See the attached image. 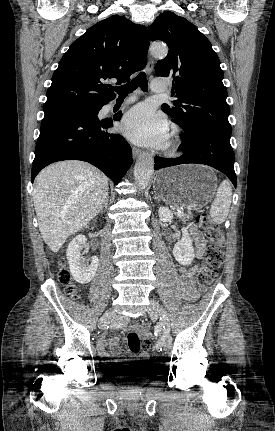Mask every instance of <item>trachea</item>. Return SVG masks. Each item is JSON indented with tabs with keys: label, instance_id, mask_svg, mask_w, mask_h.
Returning <instances> with one entry per match:
<instances>
[{
	"label": "trachea",
	"instance_id": "obj_1",
	"mask_svg": "<svg viewBox=\"0 0 275 431\" xmlns=\"http://www.w3.org/2000/svg\"><path fill=\"white\" fill-rule=\"evenodd\" d=\"M137 87H140L143 92L148 90V81L145 72L139 73L137 77L125 85L114 87V90L119 94V97H124L133 92Z\"/></svg>",
	"mask_w": 275,
	"mask_h": 431
}]
</instances>
